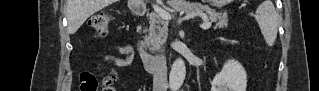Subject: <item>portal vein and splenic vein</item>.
Here are the masks:
<instances>
[{
	"mask_svg": "<svg viewBox=\"0 0 319 91\" xmlns=\"http://www.w3.org/2000/svg\"><path fill=\"white\" fill-rule=\"evenodd\" d=\"M153 9H154L155 13L158 16H160L163 20H170L171 19L170 13L165 11L164 9L159 7L158 5H153ZM200 27L202 29H209L211 27V23L210 22H204L203 24L200 25Z\"/></svg>",
	"mask_w": 319,
	"mask_h": 91,
	"instance_id": "obj_1",
	"label": "portal vein and splenic vein"
}]
</instances>
